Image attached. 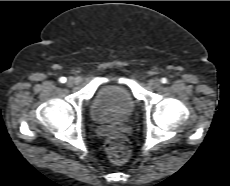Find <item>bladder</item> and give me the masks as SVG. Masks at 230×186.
<instances>
[{
    "label": "bladder",
    "instance_id": "bladder-1",
    "mask_svg": "<svg viewBox=\"0 0 230 186\" xmlns=\"http://www.w3.org/2000/svg\"><path fill=\"white\" fill-rule=\"evenodd\" d=\"M135 110V100L124 85L111 84L100 88L90 107L91 117L98 122L119 123L130 118Z\"/></svg>",
    "mask_w": 230,
    "mask_h": 186
}]
</instances>
